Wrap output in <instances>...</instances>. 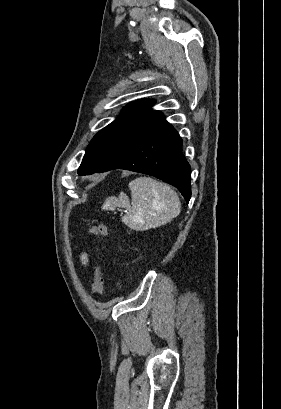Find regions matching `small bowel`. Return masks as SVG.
Here are the masks:
<instances>
[{
	"instance_id": "small-bowel-1",
	"label": "small bowel",
	"mask_w": 281,
	"mask_h": 409,
	"mask_svg": "<svg viewBox=\"0 0 281 409\" xmlns=\"http://www.w3.org/2000/svg\"><path fill=\"white\" fill-rule=\"evenodd\" d=\"M80 260H81V262H82V264L84 265V266H87L88 265V262H89V258H88V256H87V254L86 253H81V255H80Z\"/></svg>"
}]
</instances>
